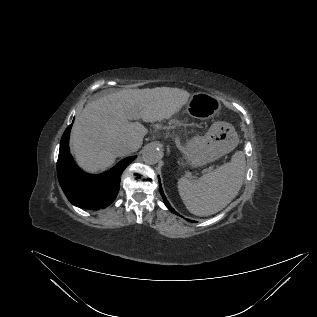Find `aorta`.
<instances>
[{"label":"aorta","instance_id":"obj_1","mask_svg":"<svg viewBox=\"0 0 317 317\" xmlns=\"http://www.w3.org/2000/svg\"><path fill=\"white\" fill-rule=\"evenodd\" d=\"M142 158L145 163L154 165L160 160L161 151L157 146L149 144L143 149Z\"/></svg>","mask_w":317,"mask_h":317}]
</instances>
